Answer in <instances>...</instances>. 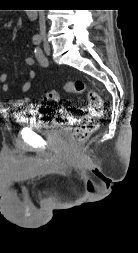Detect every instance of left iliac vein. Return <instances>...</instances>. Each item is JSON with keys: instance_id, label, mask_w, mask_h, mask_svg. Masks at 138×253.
I'll return each mask as SVG.
<instances>
[{"instance_id": "left-iliac-vein-1", "label": "left iliac vein", "mask_w": 138, "mask_h": 253, "mask_svg": "<svg viewBox=\"0 0 138 253\" xmlns=\"http://www.w3.org/2000/svg\"><path fill=\"white\" fill-rule=\"evenodd\" d=\"M44 51L47 55L50 54V46L49 44L46 42L45 45H44Z\"/></svg>"}]
</instances>
